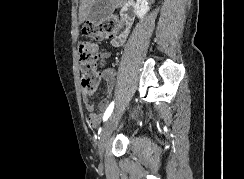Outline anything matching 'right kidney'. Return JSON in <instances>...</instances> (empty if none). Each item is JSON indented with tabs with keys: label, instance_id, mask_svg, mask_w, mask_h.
Returning a JSON list of instances; mask_svg holds the SVG:
<instances>
[{
	"label": "right kidney",
	"instance_id": "obj_1",
	"mask_svg": "<svg viewBox=\"0 0 244 179\" xmlns=\"http://www.w3.org/2000/svg\"><path fill=\"white\" fill-rule=\"evenodd\" d=\"M150 8L147 4V0H137L136 2V16L137 18H143Z\"/></svg>",
	"mask_w": 244,
	"mask_h": 179
}]
</instances>
